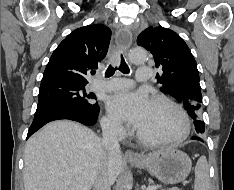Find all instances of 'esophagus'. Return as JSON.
I'll return each instance as SVG.
<instances>
[{"label":"esophagus","mask_w":234,"mask_h":190,"mask_svg":"<svg viewBox=\"0 0 234 190\" xmlns=\"http://www.w3.org/2000/svg\"><path fill=\"white\" fill-rule=\"evenodd\" d=\"M116 37H117L118 46L123 51H127L132 43V33H131L130 29L127 27L121 28L117 32ZM125 157L128 159H138L139 158V156L136 153H134L132 150H127L125 152Z\"/></svg>","instance_id":"esophagus-1"}]
</instances>
